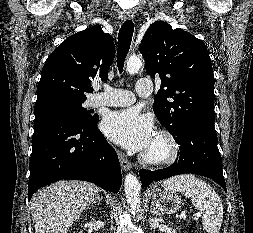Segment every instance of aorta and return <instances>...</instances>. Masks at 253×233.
<instances>
[{
  "mask_svg": "<svg viewBox=\"0 0 253 233\" xmlns=\"http://www.w3.org/2000/svg\"><path fill=\"white\" fill-rule=\"evenodd\" d=\"M142 67V61L138 57H130L127 61L126 70L129 74L138 73ZM127 203L130 206L131 214L135 215L140 206V183L135 175L127 174L124 182Z\"/></svg>",
  "mask_w": 253,
  "mask_h": 233,
  "instance_id": "obj_1",
  "label": "aorta"
}]
</instances>
